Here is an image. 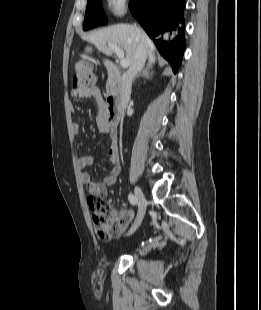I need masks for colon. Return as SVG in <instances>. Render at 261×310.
<instances>
[{
    "instance_id": "1",
    "label": "colon",
    "mask_w": 261,
    "mask_h": 310,
    "mask_svg": "<svg viewBox=\"0 0 261 310\" xmlns=\"http://www.w3.org/2000/svg\"><path fill=\"white\" fill-rule=\"evenodd\" d=\"M97 75L87 59L79 58L72 65L71 85L75 92H80L94 87ZM88 207L92 213V220L99 236L104 240L118 238L131 221L128 208L123 210V215H109L108 202L99 195H91L87 198Z\"/></svg>"
}]
</instances>
